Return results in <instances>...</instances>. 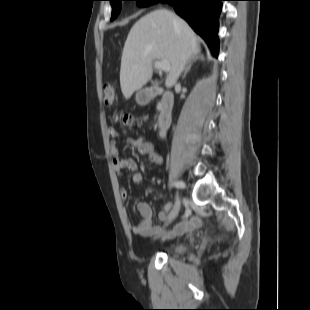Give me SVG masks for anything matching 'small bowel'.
Returning a JSON list of instances; mask_svg holds the SVG:
<instances>
[{"label":"small bowel","instance_id":"obj_1","mask_svg":"<svg viewBox=\"0 0 310 310\" xmlns=\"http://www.w3.org/2000/svg\"><path fill=\"white\" fill-rule=\"evenodd\" d=\"M108 136L111 140V155L114 171L121 176L124 170L132 171V182L134 184H141L143 182V175L137 171L136 162L129 157L122 156L117 147L116 142L121 141L124 144L134 147L141 155L147 156L150 163L159 166L163 163V157L157 148L151 142L145 140L143 137L131 138L122 135L116 128L110 127L108 129ZM120 196L123 200L128 198V192L125 189L120 190ZM173 207L172 202L165 204L163 211L158 214L160 220H165L168 211ZM141 219L132 226L134 234L142 237H154L162 240L171 239L191 232L201 225V220L198 217H183L172 229H166L160 225H154L152 222L153 211L149 204L139 202L136 204Z\"/></svg>","mask_w":310,"mask_h":310}]
</instances>
